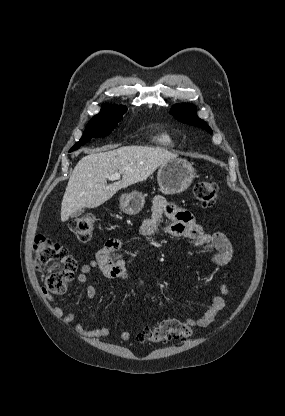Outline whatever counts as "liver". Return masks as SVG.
Returning <instances> with one entry per match:
<instances>
[{"label": "liver", "instance_id": "6515ba94", "mask_svg": "<svg viewBox=\"0 0 285 416\" xmlns=\"http://www.w3.org/2000/svg\"><path fill=\"white\" fill-rule=\"evenodd\" d=\"M102 146L96 150L82 148L88 154L76 164L69 178L66 192L61 204V222L81 208H98L110 200L122 188L144 182L155 170L178 158L164 148H148V146ZM111 150V152H105ZM112 174H122V180L107 184Z\"/></svg>", "mask_w": 285, "mask_h": 416}]
</instances>
